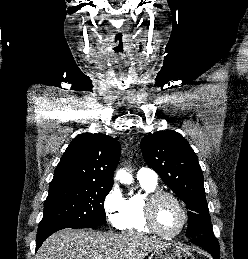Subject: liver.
Here are the masks:
<instances>
[{
    "instance_id": "1",
    "label": "liver",
    "mask_w": 248,
    "mask_h": 259,
    "mask_svg": "<svg viewBox=\"0 0 248 259\" xmlns=\"http://www.w3.org/2000/svg\"><path fill=\"white\" fill-rule=\"evenodd\" d=\"M166 243L138 233L64 229L51 235L35 259H144Z\"/></svg>"
}]
</instances>
